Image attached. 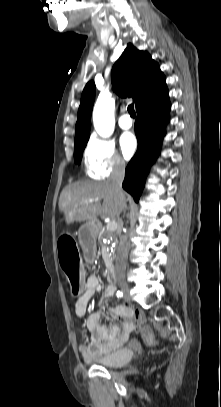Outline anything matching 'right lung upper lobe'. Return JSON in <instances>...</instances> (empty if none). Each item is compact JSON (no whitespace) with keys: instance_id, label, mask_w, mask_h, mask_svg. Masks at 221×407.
Listing matches in <instances>:
<instances>
[{"instance_id":"1","label":"right lung upper lobe","mask_w":221,"mask_h":407,"mask_svg":"<svg viewBox=\"0 0 221 407\" xmlns=\"http://www.w3.org/2000/svg\"><path fill=\"white\" fill-rule=\"evenodd\" d=\"M114 91L122 97H132L138 109L155 97L165 87V77L159 65L147 52L137 50L128 44L121 57L115 62L111 72ZM95 98V84L85 86L75 129V144L88 141L91 128V112Z\"/></svg>"}]
</instances>
